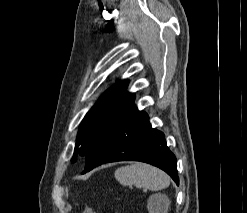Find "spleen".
Instances as JSON below:
<instances>
[{
  "instance_id": "3e777b00",
  "label": "spleen",
  "mask_w": 247,
  "mask_h": 213,
  "mask_svg": "<svg viewBox=\"0 0 247 213\" xmlns=\"http://www.w3.org/2000/svg\"><path fill=\"white\" fill-rule=\"evenodd\" d=\"M114 176L124 186L134 185L151 191L165 189L170 184L169 176L165 172L144 163H134L118 168Z\"/></svg>"
}]
</instances>
